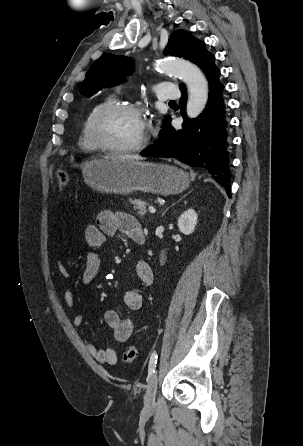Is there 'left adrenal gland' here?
Segmentation results:
<instances>
[{
	"mask_svg": "<svg viewBox=\"0 0 303 446\" xmlns=\"http://www.w3.org/2000/svg\"><path fill=\"white\" fill-rule=\"evenodd\" d=\"M186 196V195H185ZM185 196H183L182 198H184ZM173 205V204H172ZM169 208H167L165 211H164V213H163V215L165 214V212L168 210Z\"/></svg>",
	"mask_w": 303,
	"mask_h": 446,
	"instance_id": "left-adrenal-gland-1",
	"label": "left adrenal gland"
}]
</instances>
